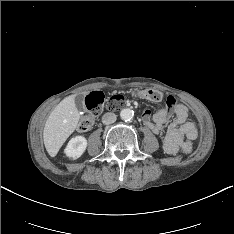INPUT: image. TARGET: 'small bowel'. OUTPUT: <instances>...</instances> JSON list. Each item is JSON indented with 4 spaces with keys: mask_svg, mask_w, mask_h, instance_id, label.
<instances>
[{
    "mask_svg": "<svg viewBox=\"0 0 234 234\" xmlns=\"http://www.w3.org/2000/svg\"><path fill=\"white\" fill-rule=\"evenodd\" d=\"M175 115V121L169 124L162 138V145L168 154H176L183 147L185 139L195 140L198 136L196 125L188 121V109L183 104L176 102L173 96H168L165 106L153 117L150 111L145 109L142 113L144 124L155 134L164 131L165 123L171 115Z\"/></svg>",
    "mask_w": 234,
    "mask_h": 234,
    "instance_id": "obj_1",
    "label": "small bowel"
}]
</instances>
